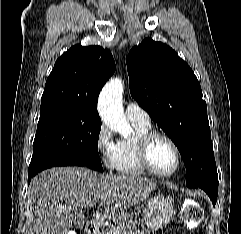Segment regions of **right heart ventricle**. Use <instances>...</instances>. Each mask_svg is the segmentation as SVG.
Instances as JSON below:
<instances>
[{
  "label": "right heart ventricle",
  "mask_w": 241,
  "mask_h": 234,
  "mask_svg": "<svg viewBox=\"0 0 241 234\" xmlns=\"http://www.w3.org/2000/svg\"><path fill=\"white\" fill-rule=\"evenodd\" d=\"M135 133L132 137L124 138L116 143L113 156V169L122 175L141 176L147 171L139 160L138 144L139 138L151 131L150 124L132 122Z\"/></svg>",
  "instance_id": "e07e8e85"
}]
</instances>
